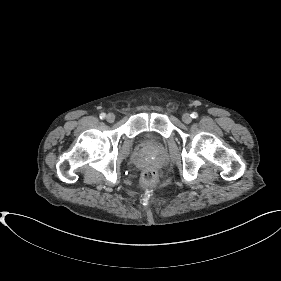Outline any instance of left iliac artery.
<instances>
[{
  "label": "left iliac artery",
  "mask_w": 281,
  "mask_h": 281,
  "mask_svg": "<svg viewBox=\"0 0 281 281\" xmlns=\"http://www.w3.org/2000/svg\"><path fill=\"white\" fill-rule=\"evenodd\" d=\"M191 117H192V118H197V117H198V114H197L196 112H193V113L191 114Z\"/></svg>",
  "instance_id": "left-iliac-artery-1"
}]
</instances>
